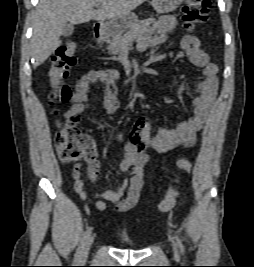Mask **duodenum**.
I'll list each match as a JSON object with an SVG mask.
<instances>
[{"instance_id": "duodenum-1", "label": "duodenum", "mask_w": 254, "mask_h": 267, "mask_svg": "<svg viewBox=\"0 0 254 267\" xmlns=\"http://www.w3.org/2000/svg\"><path fill=\"white\" fill-rule=\"evenodd\" d=\"M102 34H103L102 26L98 24L95 28V37L97 39H100L102 37Z\"/></svg>"}]
</instances>
